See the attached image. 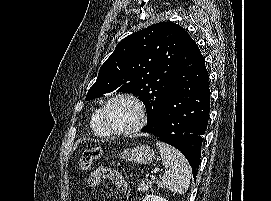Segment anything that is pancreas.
Wrapping results in <instances>:
<instances>
[{
	"label": "pancreas",
	"instance_id": "obj_1",
	"mask_svg": "<svg viewBox=\"0 0 271 201\" xmlns=\"http://www.w3.org/2000/svg\"><path fill=\"white\" fill-rule=\"evenodd\" d=\"M152 186H153V181H147L146 183L142 181L138 186V190L146 192L147 190L151 189ZM158 187H159V183H158Z\"/></svg>",
	"mask_w": 271,
	"mask_h": 201
}]
</instances>
